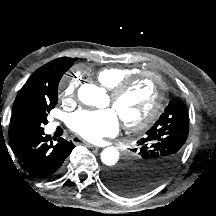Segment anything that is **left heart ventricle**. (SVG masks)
Listing matches in <instances>:
<instances>
[{"label": "left heart ventricle", "instance_id": "left-heart-ventricle-1", "mask_svg": "<svg viewBox=\"0 0 216 216\" xmlns=\"http://www.w3.org/2000/svg\"><path fill=\"white\" fill-rule=\"evenodd\" d=\"M157 94V85L150 77L139 80L112 107L121 119L136 121L146 116Z\"/></svg>", "mask_w": 216, "mask_h": 216}]
</instances>
